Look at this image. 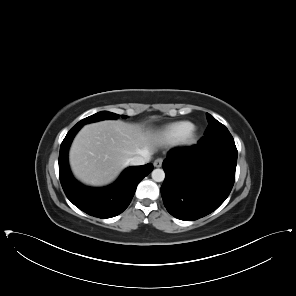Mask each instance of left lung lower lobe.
<instances>
[{
    "mask_svg": "<svg viewBox=\"0 0 296 296\" xmlns=\"http://www.w3.org/2000/svg\"><path fill=\"white\" fill-rule=\"evenodd\" d=\"M237 155L236 146L208 148L202 139L171 149L162 164L161 195L168 212L191 221L216 210L233 187Z\"/></svg>",
    "mask_w": 296,
    "mask_h": 296,
    "instance_id": "1",
    "label": "left lung lower lobe"
}]
</instances>
